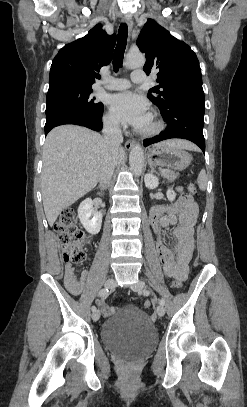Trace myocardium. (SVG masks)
<instances>
[{"label":"myocardium","instance_id":"obj_1","mask_svg":"<svg viewBox=\"0 0 247 407\" xmlns=\"http://www.w3.org/2000/svg\"><path fill=\"white\" fill-rule=\"evenodd\" d=\"M150 120H151V126L149 128H145V129L142 128L139 130V133L141 135L146 136V137H152V136L159 134L163 130L164 124L157 117L156 114H154V113L150 114Z\"/></svg>","mask_w":247,"mask_h":407}]
</instances>
